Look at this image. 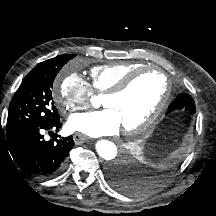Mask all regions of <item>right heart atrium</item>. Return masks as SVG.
Listing matches in <instances>:
<instances>
[{
    "label": "right heart atrium",
    "mask_w": 216,
    "mask_h": 216,
    "mask_svg": "<svg viewBox=\"0 0 216 216\" xmlns=\"http://www.w3.org/2000/svg\"><path fill=\"white\" fill-rule=\"evenodd\" d=\"M92 96L90 85L76 73L64 77L53 92L54 102L62 114L87 108Z\"/></svg>",
    "instance_id": "1"
}]
</instances>
